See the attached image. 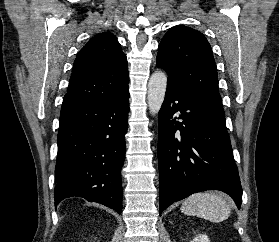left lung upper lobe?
<instances>
[{"instance_id":"1","label":"left lung upper lobe","mask_w":279,"mask_h":242,"mask_svg":"<svg viewBox=\"0 0 279 242\" xmlns=\"http://www.w3.org/2000/svg\"><path fill=\"white\" fill-rule=\"evenodd\" d=\"M157 66L225 118L212 49L201 32L181 25L172 27L159 44Z\"/></svg>"}]
</instances>
